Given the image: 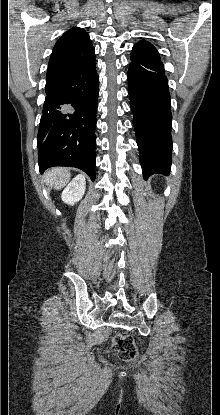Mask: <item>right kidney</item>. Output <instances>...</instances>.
I'll return each mask as SVG.
<instances>
[{
  "instance_id": "right-kidney-1",
  "label": "right kidney",
  "mask_w": 220,
  "mask_h": 415,
  "mask_svg": "<svg viewBox=\"0 0 220 415\" xmlns=\"http://www.w3.org/2000/svg\"><path fill=\"white\" fill-rule=\"evenodd\" d=\"M86 189L84 175H77L63 190L61 199L64 203L74 205L82 199Z\"/></svg>"
}]
</instances>
